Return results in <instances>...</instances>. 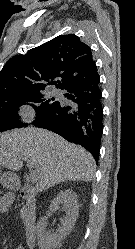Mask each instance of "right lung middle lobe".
I'll return each mask as SVG.
<instances>
[{
	"label": "right lung middle lobe",
	"mask_w": 135,
	"mask_h": 249,
	"mask_svg": "<svg viewBox=\"0 0 135 249\" xmlns=\"http://www.w3.org/2000/svg\"><path fill=\"white\" fill-rule=\"evenodd\" d=\"M56 102L54 98H44L40 91L0 99V132L27 125L19 121L17 111L20 106H32L38 116L52 108Z\"/></svg>",
	"instance_id": "dd1d6c3e"
}]
</instances>
